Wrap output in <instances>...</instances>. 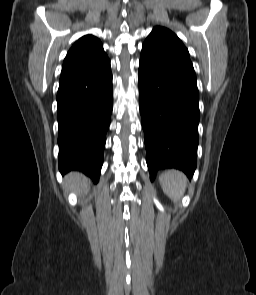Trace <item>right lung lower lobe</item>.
I'll return each instance as SVG.
<instances>
[{"instance_id": "98d812e1", "label": "right lung lower lobe", "mask_w": 256, "mask_h": 295, "mask_svg": "<svg viewBox=\"0 0 256 295\" xmlns=\"http://www.w3.org/2000/svg\"><path fill=\"white\" fill-rule=\"evenodd\" d=\"M57 105L60 172L97 182L113 108L110 60L61 74Z\"/></svg>"}]
</instances>
